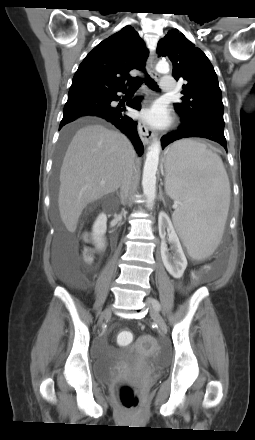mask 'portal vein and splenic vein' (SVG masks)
Returning <instances> with one entry per match:
<instances>
[{"label":"portal vein and splenic vein","instance_id":"portal-vein-and-splenic-vein-1","mask_svg":"<svg viewBox=\"0 0 255 440\" xmlns=\"http://www.w3.org/2000/svg\"><path fill=\"white\" fill-rule=\"evenodd\" d=\"M173 207H174V208H177V207H178V204H174Z\"/></svg>","mask_w":255,"mask_h":440}]
</instances>
